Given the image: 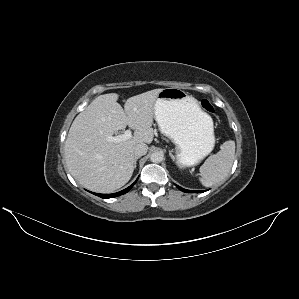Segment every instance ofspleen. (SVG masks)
<instances>
[{
	"mask_svg": "<svg viewBox=\"0 0 299 299\" xmlns=\"http://www.w3.org/2000/svg\"><path fill=\"white\" fill-rule=\"evenodd\" d=\"M235 159V142L232 140L222 144L221 150L207 158L200 167V182L205 187L223 181L229 174Z\"/></svg>",
	"mask_w": 299,
	"mask_h": 299,
	"instance_id": "obj_1",
	"label": "spleen"
}]
</instances>
